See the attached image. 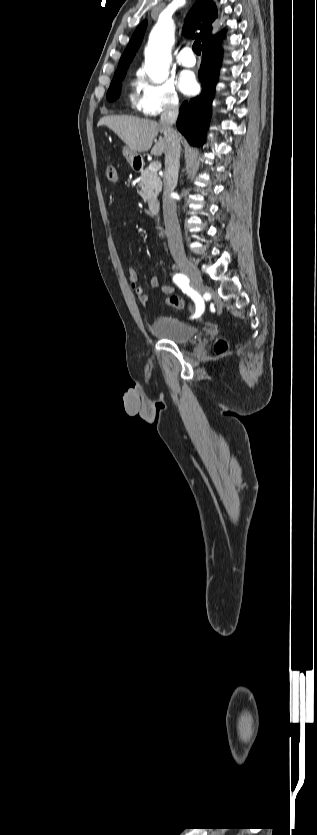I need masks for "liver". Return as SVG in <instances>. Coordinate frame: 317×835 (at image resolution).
<instances>
[{"instance_id": "1", "label": "liver", "mask_w": 317, "mask_h": 835, "mask_svg": "<svg viewBox=\"0 0 317 835\" xmlns=\"http://www.w3.org/2000/svg\"><path fill=\"white\" fill-rule=\"evenodd\" d=\"M102 125L112 130L135 153L149 151L153 140L163 132L161 125L156 121L131 116H103L97 126ZM165 148L166 141L160 136L151 149V155L161 156Z\"/></svg>"}]
</instances>
